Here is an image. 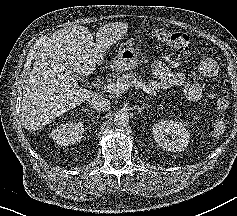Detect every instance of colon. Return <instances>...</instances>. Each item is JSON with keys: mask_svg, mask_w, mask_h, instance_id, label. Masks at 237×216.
Returning a JSON list of instances; mask_svg holds the SVG:
<instances>
[{"mask_svg": "<svg viewBox=\"0 0 237 216\" xmlns=\"http://www.w3.org/2000/svg\"><path fill=\"white\" fill-rule=\"evenodd\" d=\"M153 37L165 42L169 46L176 49H188L189 47V37L187 34L182 32H168L163 29H152L149 31ZM216 107L220 110H225L229 107V98L226 93H222L216 97L215 100Z\"/></svg>", "mask_w": 237, "mask_h": 216, "instance_id": "colon-1", "label": "colon"}]
</instances>
